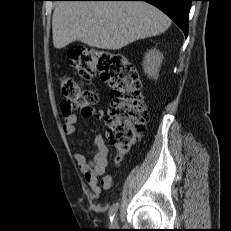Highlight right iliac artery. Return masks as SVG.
<instances>
[{
	"mask_svg": "<svg viewBox=\"0 0 231 231\" xmlns=\"http://www.w3.org/2000/svg\"><path fill=\"white\" fill-rule=\"evenodd\" d=\"M118 203H114L110 210H109V218L110 220H113L114 216H115V213L117 212V209H118Z\"/></svg>",
	"mask_w": 231,
	"mask_h": 231,
	"instance_id": "obj_1",
	"label": "right iliac artery"
}]
</instances>
